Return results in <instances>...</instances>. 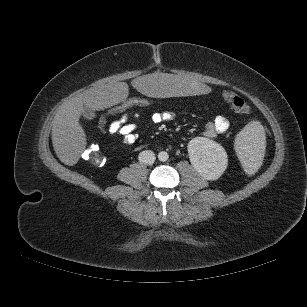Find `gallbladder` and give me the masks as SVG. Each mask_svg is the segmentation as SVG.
<instances>
[{
	"label": "gallbladder",
	"instance_id": "bac80fb5",
	"mask_svg": "<svg viewBox=\"0 0 307 307\" xmlns=\"http://www.w3.org/2000/svg\"><path fill=\"white\" fill-rule=\"evenodd\" d=\"M83 116L86 118V119H93L95 117V113L93 110L89 109V108H84L83 110Z\"/></svg>",
	"mask_w": 307,
	"mask_h": 307
}]
</instances>
